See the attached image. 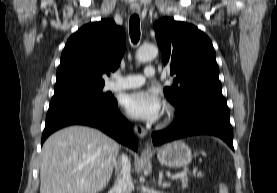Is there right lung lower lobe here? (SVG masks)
Wrapping results in <instances>:
<instances>
[{
  "label": "right lung lower lobe",
  "instance_id": "1",
  "mask_svg": "<svg viewBox=\"0 0 277 193\" xmlns=\"http://www.w3.org/2000/svg\"><path fill=\"white\" fill-rule=\"evenodd\" d=\"M74 124L98 128L121 144L137 150L131 125L118 110L117 101H102L75 94H54L46 116L41 145L56 130Z\"/></svg>",
  "mask_w": 277,
  "mask_h": 193
}]
</instances>
